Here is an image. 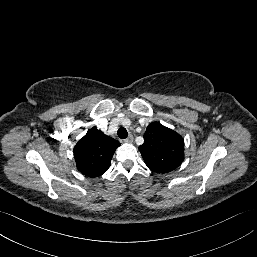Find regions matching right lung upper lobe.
I'll return each mask as SVG.
<instances>
[{
    "mask_svg": "<svg viewBox=\"0 0 257 257\" xmlns=\"http://www.w3.org/2000/svg\"><path fill=\"white\" fill-rule=\"evenodd\" d=\"M120 143L97 128H91L74 147L78 170L85 176L97 177L105 173Z\"/></svg>",
    "mask_w": 257,
    "mask_h": 257,
    "instance_id": "obj_1",
    "label": "right lung upper lobe"
}]
</instances>
